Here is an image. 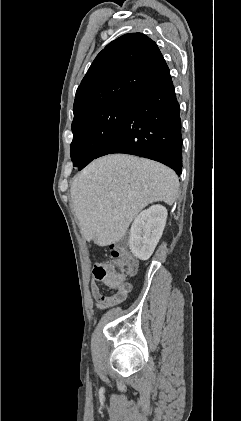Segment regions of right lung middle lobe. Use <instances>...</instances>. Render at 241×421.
Instances as JSON below:
<instances>
[{
    "label": "right lung middle lobe",
    "mask_w": 241,
    "mask_h": 421,
    "mask_svg": "<svg viewBox=\"0 0 241 421\" xmlns=\"http://www.w3.org/2000/svg\"><path fill=\"white\" fill-rule=\"evenodd\" d=\"M128 105L129 100L118 101L73 121L70 156L75 167L81 170L96 158L121 125Z\"/></svg>",
    "instance_id": "dd1d6c3e"
}]
</instances>
